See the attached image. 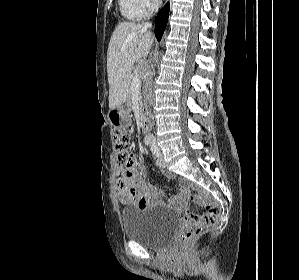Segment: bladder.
Masks as SVG:
<instances>
[{
    "mask_svg": "<svg viewBox=\"0 0 299 280\" xmlns=\"http://www.w3.org/2000/svg\"><path fill=\"white\" fill-rule=\"evenodd\" d=\"M177 227L176 214L161 206L127 210L123 215L126 238L152 249L167 246Z\"/></svg>",
    "mask_w": 299,
    "mask_h": 280,
    "instance_id": "31cf9c89",
    "label": "bladder"
}]
</instances>
